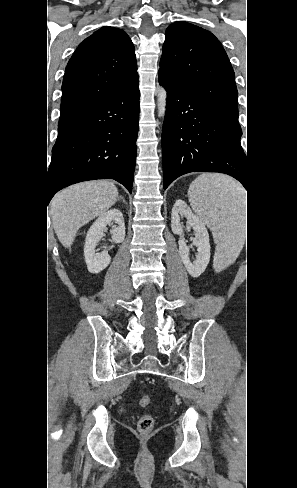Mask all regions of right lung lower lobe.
I'll use <instances>...</instances> for the list:
<instances>
[{"mask_svg":"<svg viewBox=\"0 0 297 488\" xmlns=\"http://www.w3.org/2000/svg\"><path fill=\"white\" fill-rule=\"evenodd\" d=\"M138 77L60 120L48 169V203L74 183L114 179L131 193L139 130Z\"/></svg>","mask_w":297,"mask_h":488,"instance_id":"obj_1","label":"right lung lower lobe"}]
</instances>
